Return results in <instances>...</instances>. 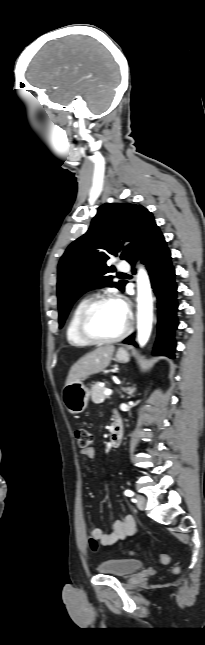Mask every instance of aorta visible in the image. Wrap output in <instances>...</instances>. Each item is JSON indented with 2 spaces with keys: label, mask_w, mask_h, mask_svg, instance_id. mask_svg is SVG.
Instances as JSON below:
<instances>
[{
  "label": "aorta",
  "mask_w": 205,
  "mask_h": 645,
  "mask_svg": "<svg viewBox=\"0 0 205 645\" xmlns=\"http://www.w3.org/2000/svg\"><path fill=\"white\" fill-rule=\"evenodd\" d=\"M137 329L138 342L144 346L150 337L153 321V301L148 274L144 268H139L137 275Z\"/></svg>",
  "instance_id": "obj_1"
}]
</instances>
